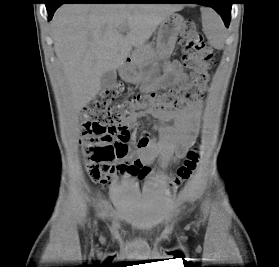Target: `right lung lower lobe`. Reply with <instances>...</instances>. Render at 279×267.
Segmentation results:
<instances>
[{
  "instance_id": "98d812e1",
  "label": "right lung lower lobe",
  "mask_w": 279,
  "mask_h": 267,
  "mask_svg": "<svg viewBox=\"0 0 279 267\" xmlns=\"http://www.w3.org/2000/svg\"><path fill=\"white\" fill-rule=\"evenodd\" d=\"M157 0H48L46 9L49 20L52 19L56 9L64 3H155Z\"/></svg>"
}]
</instances>
